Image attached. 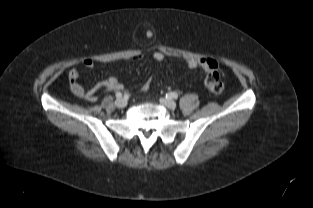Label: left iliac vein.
<instances>
[{
	"instance_id": "obj_1",
	"label": "left iliac vein",
	"mask_w": 313,
	"mask_h": 208,
	"mask_svg": "<svg viewBox=\"0 0 313 208\" xmlns=\"http://www.w3.org/2000/svg\"><path fill=\"white\" fill-rule=\"evenodd\" d=\"M160 103L169 109L176 108V103L173 100L168 99V98H161Z\"/></svg>"
}]
</instances>
